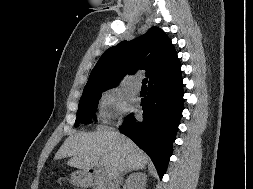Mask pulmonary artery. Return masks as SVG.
Here are the masks:
<instances>
[{
  "mask_svg": "<svg viewBox=\"0 0 253 189\" xmlns=\"http://www.w3.org/2000/svg\"><path fill=\"white\" fill-rule=\"evenodd\" d=\"M133 90L135 93H139L141 90V82L140 81H136L133 85Z\"/></svg>",
  "mask_w": 253,
  "mask_h": 189,
  "instance_id": "pulmonary-artery-1",
  "label": "pulmonary artery"
}]
</instances>
